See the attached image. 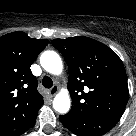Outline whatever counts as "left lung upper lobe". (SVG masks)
<instances>
[{
    "label": "left lung upper lobe",
    "instance_id": "left-lung-upper-lobe-1",
    "mask_svg": "<svg viewBox=\"0 0 136 136\" xmlns=\"http://www.w3.org/2000/svg\"><path fill=\"white\" fill-rule=\"evenodd\" d=\"M51 43L69 67L72 108L67 115L120 119L129 91L118 55L103 43L83 36L54 39Z\"/></svg>",
    "mask_w": 136,
    "mask_h": 136
}]
</instances>
